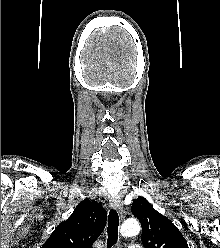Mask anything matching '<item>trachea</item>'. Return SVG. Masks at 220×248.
Returning a JSON list of instances; mask_svg holds the SVG:
<instances>
[{
    "instance_id": "1",
    "label": "trachea",
    "mask_w": 220,
    "mask_h": 248,
    "mask_svg": "<svg viewBox=\"0 0 220 248\" xmlns=\"http://www.w3.org/2000/svg\"><path fill=\"white\" fill-rule=\"evenodd\" d=\"M119 215L116 210H110L108 216L107 248H111L118 240Z\"/></svg>"
}]
</instances>
